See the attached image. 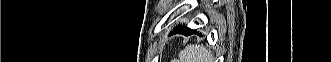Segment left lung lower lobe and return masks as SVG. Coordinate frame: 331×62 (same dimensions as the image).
I'll return each instance as SVG.
<instances>
[{
  "label": "left lung lower lobe",
  "instance_id": "left-lung-lower-lobe-1",
  "mask_svg": "<svg viewBox=\"0 0 331 62\" xmlns=\"http://www.w3.org/2000/svg\"><path fill=\"white\" fill-rule=\"evenodd\" d=\"M176 31H183L184 32V34H186V35H189V34H191L192 32H194V30H191L190 28H187V27H178L177 29H176ZM175 32V31H174Z\"/></svg>",
  "mask_w": 331,
  "mask_h": 62
}]
</instances>
